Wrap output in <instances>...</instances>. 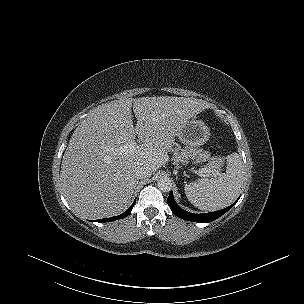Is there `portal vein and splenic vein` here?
Returning <instances> with one entry per match:
<instances>
[{
	"mask_svg": "<svg viewBox=\"0 0 304 304\" xmlns=\"http://www.w3.org/2000/svg\"><path fill=\"white\" fill-rule=\"evenodd\" d=\"M138 146V143L136 142V141H132L130 144H127V145H123L122 147H121V151L122 152H126V151H128V150H132V149H135V147H137ZM202 172H204V173H208V174H212L214 177H216V176H219L220 175V173H219V171L218 170H216V169H202Z\"/></svg>",
	"mask_w": 304,
	"mask_h": 304,
	"instance_id": "1",
	"label": "portal vein and splenic vein"
}]
</instances>
